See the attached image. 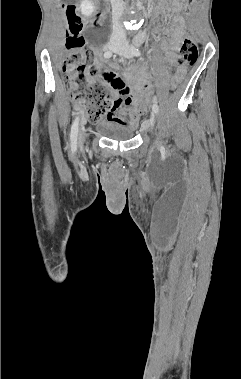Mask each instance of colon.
Returning <instances> with one entry per match:
<instances>
[{
	"mask_svg": "<svg viewBox=\"0 0 241 379\" xmlns=\"http://www.w3.org/2000/svg\"><path fill=\"white\" fill-rule=\"evenodd\" d=\"M196 2L197 0H186L184 12L189 14ZM63 9L71 29V34L67 38L69 53L67 59L62 64V69L65 73V86L70 96L75 100L79 108L83 110L86 120L90 123H96L114 108L115 103L103 87L97 84H88L87 78L94 75L95 68L90 65L91 52L86 47L84 39L78 36L83 26L82 18L77 6L74 4H64ZM197 60V46L193 38L186 35L179 49L178 62L185 71L195 65ZM108 78L114 88L122 95L128 94V90L121 80L112 75H108ZM180 83L179 79H174L170 83L169 90L176 92L177 86ZM157 92L158 89L156 87H149L140 93V98L144 103H149L150 99H153Z\"/></svg>",
	"mask_w": 241,
	"mask_h": 379,
	"instance_id": "1",
	"label": "colon"
}]
</instances>
